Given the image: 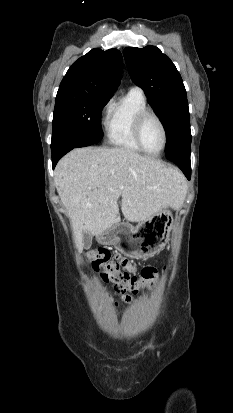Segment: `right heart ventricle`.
<instances>
[{"label": "right heart ventricle", "instance_id": "right-heart-ventricle-1", "mask_svg": "<svg viewBox=\"0 0 233 413\" xmlns=\"http://www.w3.org/2000/svg\"><path fill=\"white\" fill-rule=\"evenodd\" d=\"M147 109L144 93L139 89H130L108 112L105 130L108 142L117 148L141 152L133 135V125L137 115Z\"/></svg>", "mask_w": 233, "mask_h": 413}]
</instances>
